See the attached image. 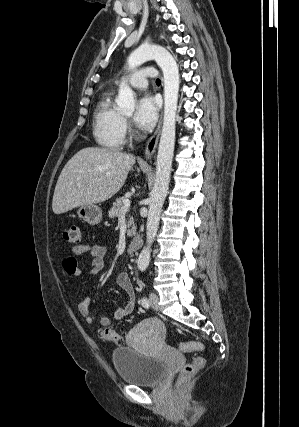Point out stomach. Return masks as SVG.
Listing matches in <instances>:
<instances>
[{
    "mask_svg": "<svg viewBox=\"0 0 299 427\" xmlns=\"http://www.w3.org/2000/svg\"><path fill=\"white\" fill-rule=\"evenodd\" d=\"M77 215L79 218L83 219L91 225H96L102 220V210L96 204H86L79 206Z\"/></svg>",
    "mask_w": 299,
    "mask_h": 427,
    "instance_id": "0dacf381",
    "label": "stomach"
}]
</instances>
